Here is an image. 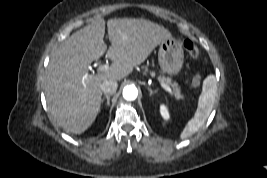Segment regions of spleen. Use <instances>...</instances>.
Wrapping results in <instances>:
<instances>
[{"label":"spleen","instance_id":"obj_1","mask_svg":"<svg viewBox=\"0 0 267 178\" xmlns=\"http://www.w3.org/2000/svg\"><path fill=\"white\" fill-rule=\"evenodd\" d=\"M216 80L214 76H208L203 82L202 93L199 96L197 110L186 126L184 127L180 137L181 139L188 138L195 134L205 123L210 115L216 95Z\"/></svg>","mask_w":267,"mask_h":178}]
</instances>
